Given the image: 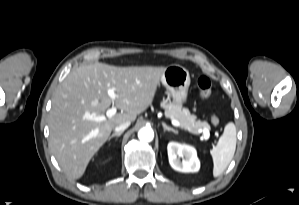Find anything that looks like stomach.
I'll use <instances>...</instances> for the list:
<instances>
[{"mask_svg":"<svg viewBox=\"0 0 299 205\" xmlns=\"http://www.w3.org/2000/svg\"><path fill=\"white\" fill-rule=\"evenodd\" d=\"M161 82L177 104L182 105L187 101L190 75L185 67L177 64L166 67Z\"/></svg>","mask_w":299,"mask_h":205,"instance_id":"obj_1","label":"stomach"}]
</instances>
